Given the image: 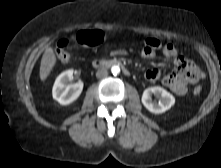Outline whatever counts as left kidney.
Segmentation results:
<instances>
[{"label":"left kidney","mask_w":221,"mask_h":168,"mask_svg":"<svg viewBox=\"0 0 221 168\" xmlns=\"http://www.w3.org/2000/svg\"><path fill=\"white\" fill-rule=\"evenodd\" d=\"M152 94L159 98L158 102L152 101ZM142 103L145 108L154 114H161L170 109L174 103L175 98L172 94L167 92L164 88L159 86L149 87L144 90L142 95Z\"/></svg>","instance_id":"left-kidney-1"}]
</instances>
